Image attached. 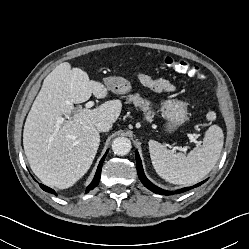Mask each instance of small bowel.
Instances as JSON below:
<instances>
[{
  "label": "small bowel",
  "mask_w": 249,
  "mask_h": 249,
  "mask_svg": "<svg viewBox=\"0 0 249 249\" xmlns=\"http://www.w3.org/2000/svg\"><path fill=\"white\" fill-rule=\"evenodd\" d=\"M138 78L142 85L157 93H170L175 90L173 84L165 78H155L144 73H139Z\"/></svg>",
  "instance_id": "obj_1"
}]
</instances>
